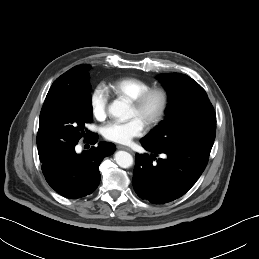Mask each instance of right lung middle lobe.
Here are the masks:
<instances>
[{
	"label": "right lung middle lobe",
	"instance_id": "obj_1",
	"mask_svg": "<svg viewBox=\"0 0 259 259\" xmlns=\"http://www.w3.org/2000/svg\"><path fill=\"white\" fill-rule=\"evenodd\" d=\"M84 70L82 80L87 93L77 98H66L42 107L37 134L40 159L66 154L80 138L87 137L86 125L92 121L91 85ZM91 136L92 133L88 132Z\"/></svg>",
	"mask_w": 259,
	"mask_h": 259
}]
</instances>
